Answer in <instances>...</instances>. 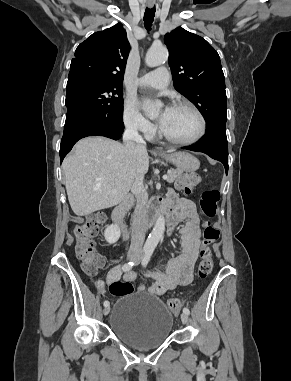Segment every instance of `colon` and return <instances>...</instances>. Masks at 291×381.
Listing matches in <instances>:
<instances>
[{
  "mask_svg": "<svg viewBox=\"0 0 291 381\" xmlns=\"http://www.w3.org/2000/svg\"><path fill=\"white\" fill-rule=\"evenodd\" d=\"M199 184V179L192 175L182 177L177 186L186 193H190ZM219 193L217 190H206L200 196V207L202 213L207 219L215 217L217 212V203ZM106 217L104 214H96L86 218L85 222L74 227L75 252L81 262L83 271L94 276L104 265V258L94 249V238L100 233ZM220 237V231L217 226L209 220L204 223L202 244L199 250L200 262L197 273L200 278H206L213 269V251ZM110 292L114 296H123L134 293V287L129 282L116 281L110 285ZM182 306L179 299H169L167 308L173 313H177Z\"/></svg>",
  "mask_w": 291,
  "mask_h": 381,
  "instance_id": "obj_1",
  "label": "colon"
}]
</instances>
